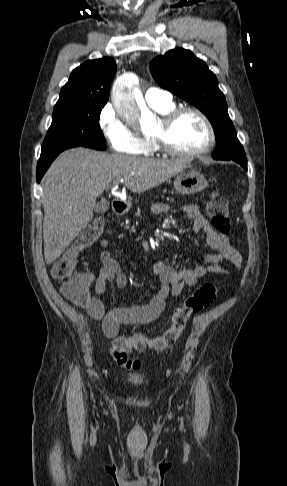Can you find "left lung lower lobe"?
<instances>
[{
  "mask_svg": "<svg viewBox=\"0 0 287 486\" xmlns=\"http://www.w3.org/2000/svg\"><path fill=\"white\" fill-rule=\"evenodd\" d=\"M238 163H240V165L245 169L247 170V159L246 160H242V161H236Z\"/></svg>",
  "mask_w": 287,
  "mask_h": 486,
  "instance_id": "0a47b994",
  "label": "left lung lower lobe"
}]
</instances>
